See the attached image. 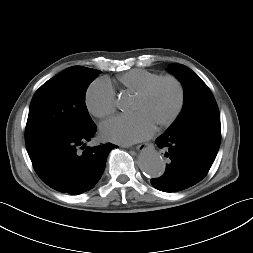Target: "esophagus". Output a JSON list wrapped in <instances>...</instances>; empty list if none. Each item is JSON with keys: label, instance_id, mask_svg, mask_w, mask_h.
Wrapping results in <instances>:
<instances>
[{"label": "esophagus", "instance_id": "1", "mask_svg": "<svg viewBox=\"0 0 253 253\" xmlns=\"http://www.w3.org/2000/svg\"><path fill=\"white\" fill-rule=\"evenodd\" d=\"M149 146V143H143L136 146V150H145Z\"/></svg>", "mask_w": 253, "mask_h": 253}]
</instances>
